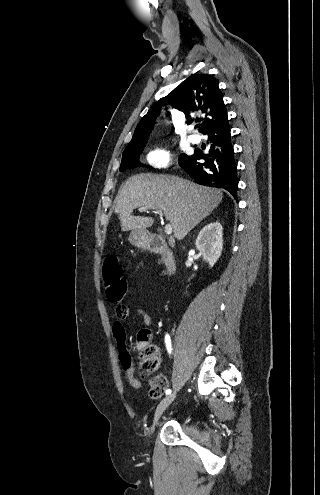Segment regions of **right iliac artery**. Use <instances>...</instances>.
Listing matches in <instances>:
<instances>
[{"mask_svg": "<svg viewBox=\"0 0 320 495\" xmlns=\"http://www.w3.org/2000/svg\"><path fill=\"white\" fill-rule=\"evenodd\" d=\"M165 344H166L167 351L170 354L172 348H171V339H170V336L168 334L165 335ZM165 393H166V395L171 394V390L167 389L165 391Z\"/></svg>", "mask_w": 320, "mask_h": 495, "instance_id": "1", "label": "right iliac artery"}]
</instances>
